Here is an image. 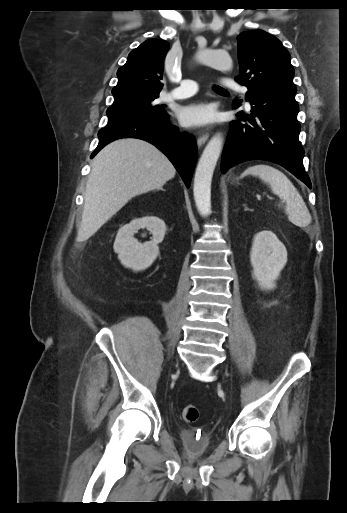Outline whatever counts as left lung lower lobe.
<instances>
[{"label": "left lung lower lobe", "instance_id": "1", "mask_svg": "<svg viewBox=\"0 0 347 513\" xmlns=\"http://www.w3.org/2000/svg\"><path fill=\"white\" fill-rule=\"evenodd\" d=\"M245 98L252 105L251 114L239 111L236 116L240 121L230 123L222 154V172L243 161L267 160L283 166L311 188L303 166L295 94L248 90ZM234 105L240 106L236 100Z\"/></svg>", "mask_w": 347, "mask_h": 513}]
</instances>
